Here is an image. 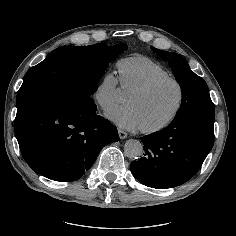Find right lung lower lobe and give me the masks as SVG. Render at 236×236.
<instances>
[{
	"instance_id": "1",
	"label": "right lung lower lobe",
	"mask_w": 236,
	"mask_h": 236,
	"mask_svg": "<svg viewBox=\"0 0 236 236\" xmlns=\"http://www.w3.org/2000/svg\"><path fill=\"white\" fill-rule=\"evenodd\" d=\"M14 128L28 165L62 182L81 178L101 149L119 140L116 127L96 114L94 102L72 98L29 106L17 113Z\"/></svg>"
}]
</instances>
